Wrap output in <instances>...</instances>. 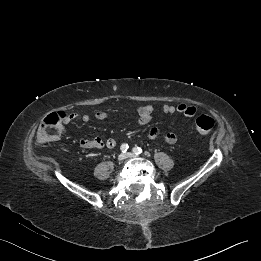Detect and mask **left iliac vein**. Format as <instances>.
Here are the masks:
<instances>
[{
  "mask_svg": "<svg viewBox=\"0 0 261 261\" xmlns=\"http://www.w3.org/2000/svg\"><path fill=\"white\" fill-rule=\"evenodd\" d=\"M126 157H127V158H135L136 155H135L134 153H132V152H128V153L126 154Z\"/></svg>",
  "mask_w": 261,
  "mask_h": 261,
  "instance_id": "obj_1",
  "label": "left iliac vein"
}]
</instances>
